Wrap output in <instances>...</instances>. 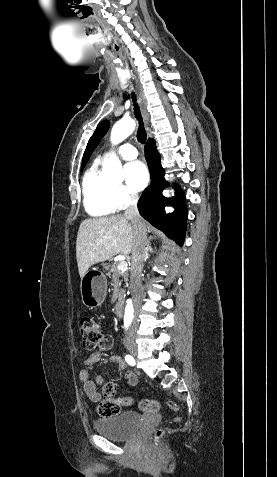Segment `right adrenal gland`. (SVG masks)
Masks as SVG:
<instances>
[{
  "label": "right adrenal gland",
  "mask_w": 277,
  "mask_h": 477,
  "mask_svg": "<svg viewBox=\"0 0 277 477\" xmlns=\"http://www.w3.org/2000/svg\"><path fill=\"white\" fill-rule=\"evenodd\" d=\"M152 247H151V244H150V241L148 242L147 244V248H146V254H145V261L149 258V252H152Z\"/></svg>",
  "instance_id": "1"
}]
</instances>
